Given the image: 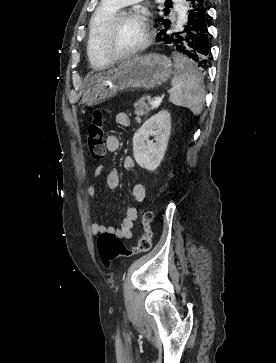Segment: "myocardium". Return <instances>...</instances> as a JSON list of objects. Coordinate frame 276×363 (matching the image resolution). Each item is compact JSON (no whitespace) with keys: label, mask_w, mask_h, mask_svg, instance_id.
Returning <instances> with one entry per match:
<instances>
[{"label":"myocardium","mask_w":276,"mask_h":363,"mask_svg":"<svg viewBox=\"0 0 276 363\" xmlns=\"http://www.w3.org/2000/svg\"><path fill=\"white\" fill-rule=\"evenodd\" d=\"M124 20L138 21L143 26V30H144L143 38H142L141 42L137 46L132 48L131 50L121 53V54H112L105 44V39L108 36V34L111 33L112 30L119 23H121ZM151 38H152V31H151L150 23H149V20H148V17L146 16V14L137 12L134 10H122V11H118L101 30L100 37H99V45H100V49H101V52L103 53V55L110 62H115V61H121L124 59H128L130 57H133V56L141 53L148 47V45L151 41Z\"/></svg>","instance_id":"f54148a6"}]
</instances>
